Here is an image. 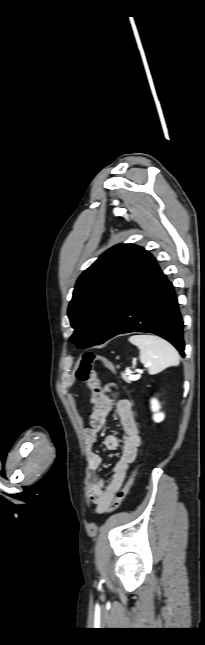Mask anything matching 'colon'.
Wrapping results in <instances>:
<instances>
[{"label": "colon", "mask_w": 205, "mask_h": 645, "mask_svg": "<svg viewBox=\"0 0 205 645\" xmlns=\"http://www.w3.org/2000/svg\"><path fill=\"white\" fill-rule=\"evenodd\" d=\"M96 363L106 367L107 369L113 372L115 371L114 364L109 359L103 356L96 355L92 352H87L82 356L76 369V378L80 382L85 383L88 386V388L91 390L92 397H91L90 403L92 405L95 404L96 400L101 394V383H100V380L98 379L96 371L94 370V364ZM137 469L138 467H136L133 470V472L131 473L129 479L127 480L123 488L116 494L114 500L112 501L108 509V513H112L116 511L121 505L122 501L128 494L133 484Z\"/></svg>", "instance_id": "colon-1"}]
</instances>
